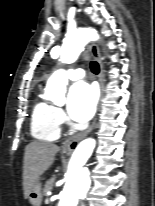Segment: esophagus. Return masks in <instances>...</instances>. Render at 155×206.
<instances>
[{
	"label": "esophagus",
	"instance_id": "esophagus-1",
	"mask_svg": "<svg viewBox=\"0 0 155 206\" xmlns=\"http://www.w3.org/2000/svg\"><path fill=\"white\" fill-rule=\"evenodd\" d=\"M89 51L92 53V55L99 63V67H100L99 84H100V90L102 92L104 87V66L100 57L99 48L97 44L91 43L89 45ZM95 124H96V120H94L93 123L86 130L68 138L65 142H63L62 145L63 151L67 154L73 152L74 149L77 147L78 143L93 130Z\"/></svg>",
	"mask_w": 155,
	"mask_h": 206
}]
</instances>
